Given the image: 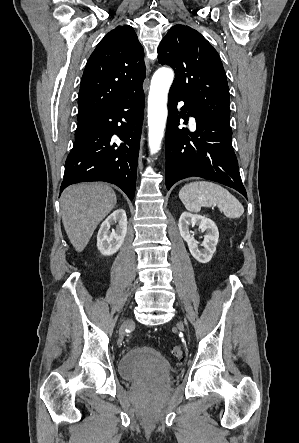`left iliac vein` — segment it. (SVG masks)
<instances>
[{"label": "left iliac vein", "mask_w": 299, "mask_h": 443, "mask_svg": "<svg viewBox=\"0 0 299 443\" xmlns=\"http://www.w3.org/2000/svg\"><path fill=\"white\" fill-rule=\"evenodd\" d=\"M179 328H180V329H182V330H184V329H185V327H184L183 323H179Z\"/></svg>", "instance_id": "1"}]
</instances>
